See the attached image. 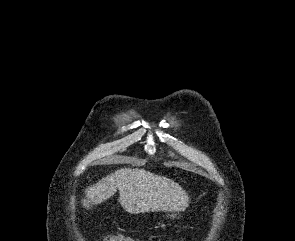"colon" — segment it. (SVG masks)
Instances as JSON below:
<instances>
[{
	"label": "colon",
	"instance_id": "5ec220e1",
	"mask_svg": "<svg viewBox=\"0 0 295 241\" xmlns=\"http://www.w3.org/2000/svg\"><path fill=\"white\" fill-rule=\"evenodd\" d=\"M125 236L121 234H113L106 237L105 241H123Z\"/></svg>",
	"mask_w": 295,
	"mask_h": 241
}]
</instances>
